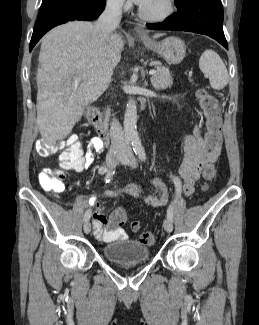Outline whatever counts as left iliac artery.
I'll list each match as a JSON object with an SVG mask.
<instances>
[{
	"instance_id": "obj_1",
	"label": "left iliac artery",
	"mask_w": 259,
	"mask_h": 325,
	"mask_svg": "<svg viewBox=\"0 0 259 325\" xmlns=\"http://www.w3.org/2000/svg\"><path fill=\"white\" fill-rule=\"evenodd\" d=\"M132 145H133V150H134L135 154L139 157V159H141L142 161H145L146 154H145V150H144L142 144L139 141L134 140L132 142ZM172 179H173V182L176 187V194L178 196L181 193V182L177 177H175L173 175H172ZM173 206H174V202L168 207V210H167V217L171 221L173 220Z\"/></svg>"
}]
</instances>
